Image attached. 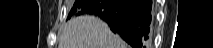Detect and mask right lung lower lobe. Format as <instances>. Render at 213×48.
I'll return each mask as SVG.
<instances>
[{
  "instance_id": "right-lung-lower-lobe-1",
  "label": "right lung lower lobe",
  "mask_w": 213,
  "mask_h": 48,
  "mask_svg": "<svg viewBox=\"0 0 213 48\" xmlns=\"http://www.w3.org/2000/svg\"><path fill=\"white\" fill-rule=\"evenodd\" d=\"M152 0H87L79 15L94 14L134 48H145Z\"/></svg>"
}]
</instances>
